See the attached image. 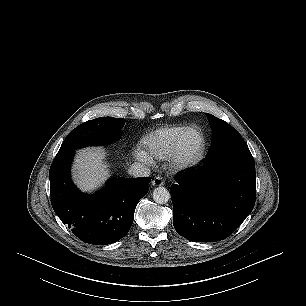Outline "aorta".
<instances>
[{"instance_id":"aorta-1","label":"aorta","mask_w":306,"mask_h":306,"mask_svg":"<svg viewBox=\"0 0 306 306\" xmlns=\"http://www.w3.org/2000/svg\"><path fill=\"white\" fill-rule=\"evenodd\" d=\"M170 199L169 191L164 187H157L153 191V200L158 204H165Z\"/></svg>"}]
</instances>
